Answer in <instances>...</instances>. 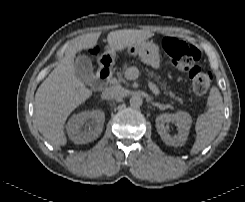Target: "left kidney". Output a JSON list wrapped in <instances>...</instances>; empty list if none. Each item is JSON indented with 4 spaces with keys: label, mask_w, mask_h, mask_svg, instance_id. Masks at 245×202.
<instances>
[{
    "label": "left kidney",
    "mask_w": 245,
    "mask_h": 202,
    "mask_svg": "<svg viewBox=\"0 0 245 202\" xmlns=\"http://www.w3.org/2000/svg\"><path fill=\"white\" fill-rule=\"evenodd\" d=\"M175 122L177 125L178 134L171 136L166 123ZM192 123V118L189 113L178 111L176 113H165L156 117L157 131L166 145L179 147L183 146L187 140L189 129Z\"/></svg>",
    "instance_id": "left-kidney-1"
}]
</instances>
